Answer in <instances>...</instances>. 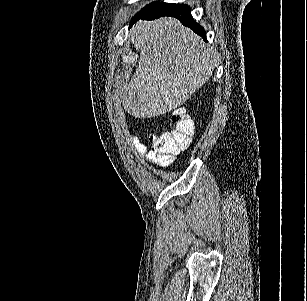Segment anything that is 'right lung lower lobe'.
I'll return each instance as SVG.
<instances>
[{"label": "right lung lower lobe", "mask_w": 307, "mask_h": 301, "mask_svg": "<svg viewBox=\"0 0 307 301\" xmlns=\"http://www.w3.org/2000/svg\"><path fill=\"white\" fill-rule=\"evenodd\" d=\"M163 16H171L179 19L183 25L190 27L195 33L202 36L203 39L206 40V32L198 23L194 21L190 13L189 6L185 4L161 2L143 13L137 20H154Z\"/></svg>", "instance_id": "right-lung-lower-lobe-1"}]
</instances>
